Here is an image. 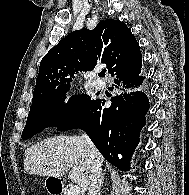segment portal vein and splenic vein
<instances>
[{
  "instance_id": "obj_1",
  "label": "portal vein and splenic vein",
  "mask_w": 189,
  "mask_h": 195,
  "mask_svg": "<svg viewBox=\"0 0 189 195\" xmlns=\"http://www.w3.org/2000/svg\"><path fill=\"white\" fill-rule=\"evenodd\" d=\"M69 195H80V187L78 185H72L69 189Z\"/></svg>"
}]
</instances>
